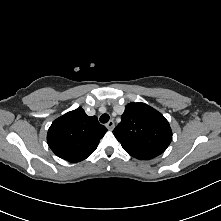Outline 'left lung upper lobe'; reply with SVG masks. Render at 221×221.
Segmentation results:
<instances>
[{"label":"left lung upper lobe","mask_w":221,"mask_h":221,"mask_svg":"<svg viewBox=\"0 0 221 221\" xmlns=\"http://www.w3.org/2000/svg\"><path fill=\"white\" fill-rule=\"evenodd\" d=\"M113 134L128 154L141 160L162 154L172 140L168 121L145 103H129Z\"/></svg>","instance_id":"1"}]
</instances>
